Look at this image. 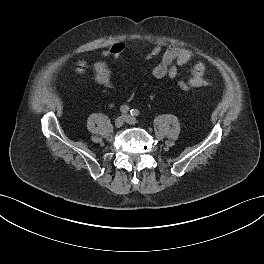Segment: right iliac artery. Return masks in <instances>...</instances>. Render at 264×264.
<instances>
[{"label":"right iliac artery","instance_id":"obj_1","mask_svg":"<svg viewBox=\"0 0 264 264\" xmlns=\"http://www.w3.org/2000/svg\"><path fill=\"white\" fill-rule=\"evenodd\" d=\"M129 107L127 106V105H122L121 107H120V111L122 112V113H127L128 111H129Z\"/></svg>","mask_w":264,"mask_h":264}]
</instances>
